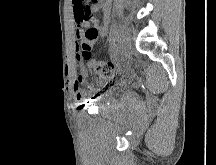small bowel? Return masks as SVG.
<instances>
[{"instance_id":"obj_1","label":"small bowel","mask_w":216,"mask_h":165,"mask_svg":"<svg viewBox=\"0 0 216 165\" xmlns=\"http://www.w3.org/2000/svg\"><path fill=\"white\" fill-rule=\"evenodd\" d=\"M102 0H92V2H77V0H72L73 4V16L76 23V38L79 41L85 39V31L89 28H96L98 30V35L95 39L91 41V46L96 42L99 36H103L108 28L107 18H108V8L105 6L104 22L100 24L95 18L89 17L87 19L81 17V13H94L98 12L101 8ZM91 24L93 25L92 27ZM82 82L81 76L77 77L74 84V93L77 99H80L81 90L79 85Z\"/></svg>"}]
</instances>
